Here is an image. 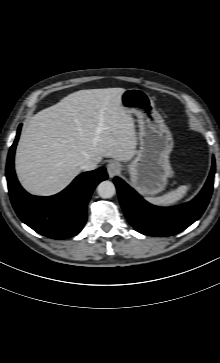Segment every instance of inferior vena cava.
<instances>
[{"label": "inferior vena cava", "mask_w": 220, "mask_h": 363, "mask_svg": "<svg viewBox=\"0 0 220 363\" xmlns=\"http://www.w3.org/2000/svg\"><path fill=\"white\" fill-rule=\"evenodd\" d=\"M96 167H97V163L90 160V161H87L86 163H84L81 166V169H83L85 171H91V170L96 169Z\"/></svg>", "instance_id": "inferior-vena-cava-1"}]
</instances>
